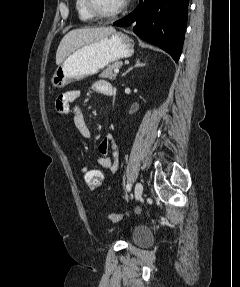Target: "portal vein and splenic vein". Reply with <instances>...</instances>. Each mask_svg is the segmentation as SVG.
<instances>
[{
    "label": "portal vein and splenic vein",
    "instance_id": "portal-vein-and-splenic-vein-1",
    "mask_svg": "<svg viewBox=\"0 0 240 287\" xmlns=\"http://www.w3.org/2000/svg\"><path fill=\"white\" fill-rule=\"evenodd\" d=\"M114 72L117 74L119 72V69H115Z\"/></svg>",
    "mask_w": 240,
    "mask_h": 287
}]
</instances>
